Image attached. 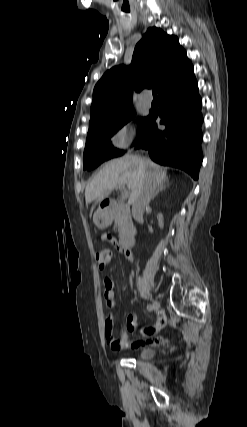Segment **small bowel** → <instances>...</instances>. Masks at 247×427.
Segmentation results:
<instances>
[{"label":"small bowel","instance_id":"1","mask_svg":"<svg viewBox=\"0 0 247 427\" xmlns=\"http://www.w3.org/2000/svg\"><path fill=\"white\" fill-rule=\"evenodd\" d=\"M104 243L107 246L114 244V238L112 237V234L110 231H107L103 234ZM126 259L129 262L133 261V256L130 251L127 249H122ZM104 285V296L106 299V304L110 310V313L108 314L106 320H105V331H106V337L109 342V344L112 346L114 350H119L114 347L113 344V336L109 334L110 329H112V324L114 320V311L117 309L118 304L115 299V293H114V284L113 281L110 278H105L103 281ZM167 319L164 315H160L156 321L155 324L145 327L142 330V333L144 335V338L138 341H135L132 343L131 347H140L145 345H156L163 341L161 337L157 336V333L166 326ZM138 323L137 318L134 314L128 315L126 319V329L130 332H134L137 329ZM124 350V349H122Z\"/></svg>","mask_w":247,"mask_h":427}]
</instances>
